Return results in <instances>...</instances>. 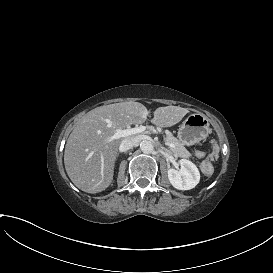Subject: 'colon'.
<instances>
[{"label":"colon","instance_id":"1","mask_svg":"<svg viewBox=\"0 0 273 273\" xmlns=\"http://www.w3.org/2000/svg\"><path fill=\"white\" fill-rule=\"evenodd\" d=\"M218 149L217 147H214L212 150L211 158L215 159L217 157Z\"/></svg>","mask_w":273,"mask_h":273}]
</instances>
